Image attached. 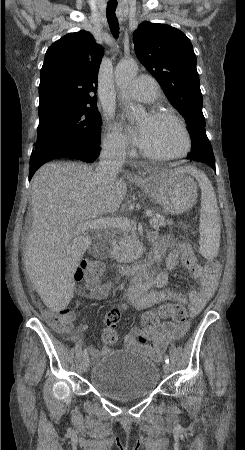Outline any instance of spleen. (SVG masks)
I'll return each mask as SVG.
<instances>
[{
  "label": "spleen",
  "mask_w": 245,
  "mask_h": 450,
  "mask_svg": "<svg viewBox=\"0 0 245 450\" xmlns=\"http://www.w3.org/2000/svg\"><path fill=\"white\" fill-rule=\"evenodd\" d=\"M193 175L201 189L200 209V253L206 259H213L218 255L220 247V213L217 199L208 177L193 167L182 169Z\"/></svg>",
  "instance_id": "spleen-1"
}]
</instances>
